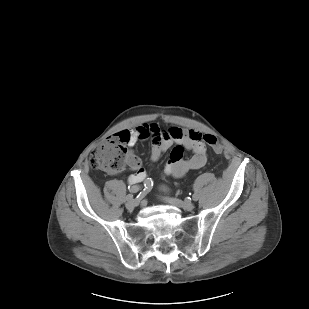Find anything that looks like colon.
<instances>
[{
	"label": "colon",
	"instance_id": "1",
	"mask_svg": "<svg viewBox=\"0 0 309 309\" xmlns=\"http://www.w3.org/2000/svg\"><path fill=\"white\" fill-rule=\"evenodd\" d=\"M202 140L210 146L214 152L221 153L222 145L213 135H203ZM127 143L125 138L112 136L104 140L89 156V165L93 169L110 173L121 171L126 165Z\"/></svg>",
	"mask_w": 309,
	"mask_h": 309
}]
</instances>
